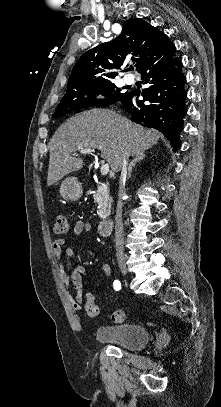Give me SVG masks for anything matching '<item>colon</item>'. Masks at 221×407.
Here are the masks:
<instances>
[{
  "instance_id": "1",
  "label": "colon",
  "mask_w": 221,
  "mask_h": 407,
  "mask_svg": "<svg viewBox=\"0 0 221 407\" xmlns=\"http://www.w3.org/2000/svg\"><path fill=\"white\" fill-rule=\"evenodd\" d=\"M68 230L67 219L64 216H58L55 223V232L57 234H65ZM84 306L89 316L98 314V307L95 304V298L92 294H88L84 300ZM111 320L115 323H123L126 320V314L123 310H116L111 314Z\"/></svg>"
}]
</instances>
